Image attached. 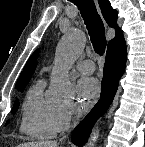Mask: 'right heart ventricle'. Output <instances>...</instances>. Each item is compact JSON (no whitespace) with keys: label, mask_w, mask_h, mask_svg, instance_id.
Masks as SVG:
<instances>
[{"label":"right heart ventricle","mask_w":145,"mask_h":147,"mask_svg":"<svg viewBox=\"0 0 145 147\" xmlns=\"http://www.w3.org/2000/svg\"><path fill=\"white\" fill-rule=\"evenodd\" d=\"M43 80L35 82L27 91L21 108L20 131L33 139H49L56 135L58 108L44 95Z\"/></svg>","instance_id":"right-heart-ventricle-1"}]
</instances>
